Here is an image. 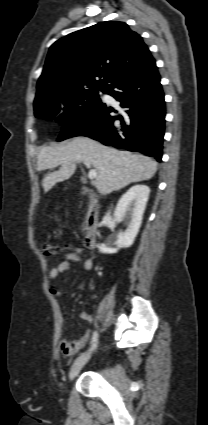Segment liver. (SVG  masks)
Listing matches in <instances>:
<instances>
[{
    "label": "liver",
    "mask_w": 208,
    "mask_h": 425,
    "mask_svg": "<svg viewBox=\"0 0 208 425\" xmlns=\"http://www.w3.org/2000/svg\"><path fill=\"white\" fill-rule=\"evenodd\" d=\"M78 162H88L96 169L95 186L102 195L133 182L148 180L157 171V162L150 157L119 151L87 137H76L67 144L45 146L40 150L38 171L61 166L58 171L45 175L42 181L44 191L48 192L56 183L69 179Z\"/></svg>",
    "instance_id": "liver-1"
}]
</instances>
